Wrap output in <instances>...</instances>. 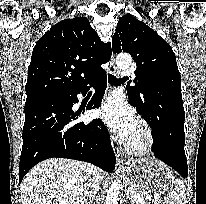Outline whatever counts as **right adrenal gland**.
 <instances>
[{"instance_id": "obj_1", "label": "right adrenal gland", "mask_w": 206, "mask_h": 204, "mask_svg": "<svg viewBox=\"0 0 206 204\" xmlns=\"http://www.w3.org/2000/svg\"><path fill=\"white\" fill-rule=\"evenodd\" d=\"M85 203H86V204H90V201H89V200H88V201H85Z\"/></svg>"}]
</instances>
